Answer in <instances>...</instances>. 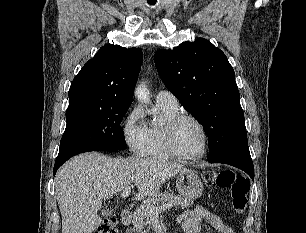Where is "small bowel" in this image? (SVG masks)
<instances>
[{
	"label": "small bowel",
	"mask_w": 306,
	"mask_h": 233,
	"mask_svg": "<svg viewBox=\"0 0 306 233\" xmlns=\"http://www.w3.org/2000/svg\"><path fill=\"white\" fill-rule=\"evenodd\" d=\"M203 220L208 221L217 233H235L233 228L224 223L219 216L200 206L183 211L177 218V222L182 225L185 233H199L200 223Z\"/></svg>",
	"instance_id": "c3829d8e"
}]
</instances>
